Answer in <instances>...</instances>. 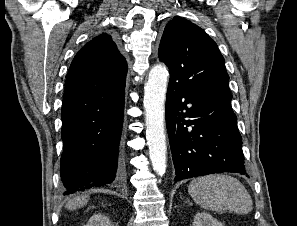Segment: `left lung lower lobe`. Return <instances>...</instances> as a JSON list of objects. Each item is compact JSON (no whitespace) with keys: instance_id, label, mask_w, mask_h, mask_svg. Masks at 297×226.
Listing matches in <instances>:
<instances>
[{"instance_id":"0a47b994","label":"left lung lower lobe","mask_w":297,"mask_h":226,"mask_svg":"<svg viewBox=\"0 0 297 226\" xmlns=\"http://www.w3.org/2000/svg\"><path fill=\"white\" fill-rule=\"evenodd\" d=\"M232 95L200 91L170 78L166 124L175 181L220 172L247 175Z\"/></svg>"}]
</instances>
